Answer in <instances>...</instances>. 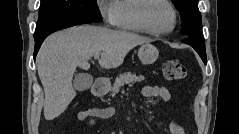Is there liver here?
Listing matches in <instances>:
<instances>
[{
    "instance_id": "1",
    "label": "liver",
    "mask_w": 239,
    "mask_h": 134,
    "mask_svg": "<svg viewBox=\"0 0 239 134\" xmlns=\"http://www.w3.org/2000/svg\"><path fill=\"white\" fill-rule=\"evenodd\" d=\"M149 42V38L135 33L90 25L69 28L49 36L36 59L45 93V119L53 120L67 109L76 96L72 85L76 68L88 70V61L94 54L101 53V67L117 68L131 49Z\"/></svg>"
}]
</instances>
